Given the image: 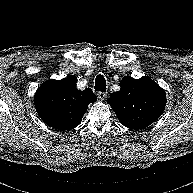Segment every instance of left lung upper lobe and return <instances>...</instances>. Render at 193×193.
I'll return each mask as SVG.
<instances>
[{"label":"left lung upper lobe","instance_id":"1","mask_svg":"<svg viewBox=\"0 0 193 193\" xmlns=\"http://www.w3.org/2000/svg\"><path fill=\"white\" fill-rule=\"evenodd\" d=\"M121 89L107 102L120 123L130 129H142L155 122L166 106L165 91L152 79L124 77Z\"/></svg>","mask_w":193,"mask_h":193}]
</instances>
